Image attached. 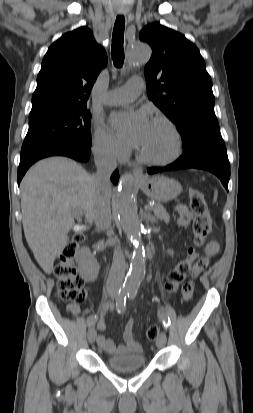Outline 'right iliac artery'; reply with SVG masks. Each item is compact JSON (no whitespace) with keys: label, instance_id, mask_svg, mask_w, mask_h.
I'll return each instance as SVG.
<instances>
[{"label":"right iliac artery","instance_id":"1","mask_svg":"<svg viewBox=\"0 0 253 413\" xmlns=\"http://www.w3.org/2000/svg\"><path fill=\"white\" fill-rule=\"evenodd\" d=\"M129 291L126 289H120L118 293V297L116 300V310L118 313H124L126 310V299L128 296ZM97 320V316H94L90 320H88V326H93Z\"/></svg>","mask_w":253,"mask_h":413}]
</instances>
